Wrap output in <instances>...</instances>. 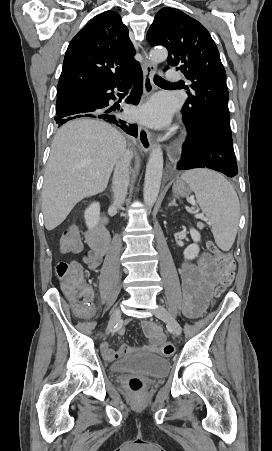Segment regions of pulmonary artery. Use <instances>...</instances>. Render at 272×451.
Returning <instances> with one entry per match:
<instances>
[{"mask_svg":"<svg viewBox=\"0 0 272 451\" xmlns=\"http://www.w3.org/2000/svg\"><path fill=\"white\" fill-rule=\"evenodd\" d=\"M178 71L176 69H174L173 67L167 72L168 75V79L171 82H177L179 80V75H178Z\"/></svg>","mask_w":272,"mask_h":451,"instance_id":"1","label":"pulmonary artery"}]
</instances>
